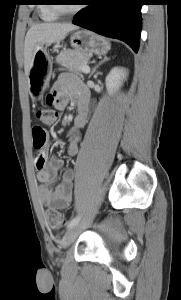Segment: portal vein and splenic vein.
Returning <instances> with one entry per match:
<instances>
[{"instance_id":"obj_1","label":"portal vein and splenic vein","mask_w":181,"mask_h":300,"mask_svg":"<svg viewBox=\"0 0 181 300\" xmlns=\"http://www.w3.org/2000/svg\"><path fill=\"white\" fill-rule=\"evenodd\" d=\"M81 70H82V72H84V73H89V72H90V68H89V66H87V65L82 66V67H81Z\"/></svg>"}]
</instances>
